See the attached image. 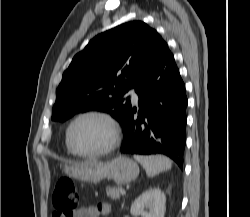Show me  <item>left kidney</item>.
<instances>
[{"label":"left kidney","instance_id":"1","mask_svg":"<svg viewBox=\"0 0 250 217\" xmlns=\"http://www.w3.org/2000/svg\"><path fill=\"white\" fill-rule=\"evenodd\" d=\"M165 211L166 196L159 188H149L143 192L130 209L131 215L141 217H164Z\"/></svg>","mask_w":250,"mask_h":217}]
</instances>
